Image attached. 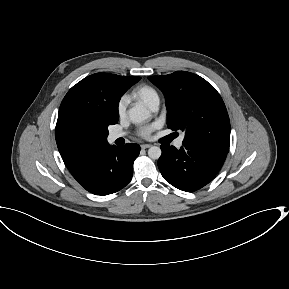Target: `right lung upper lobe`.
<instances>
[{
    "instance_id": "obj_1",
    "label": "right lung upper lobe",
    "mask_w": 289,
    "mask_h": 289,
    "mask_svg": "<svg viewBox=\"0 0 289 289\" xmlns=\"http://www.w3.org/2000/svg\"><path fill=\"white\" fill-rule=\"evenodd\" d=\"M140 79L97 73L78 82L65 95L59 108L55 138L71 173L85 159L109 146L107 127L118 122L120 97Z\"/></svg>"
}]
</instances>
